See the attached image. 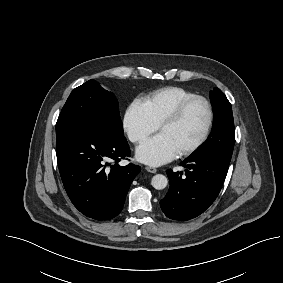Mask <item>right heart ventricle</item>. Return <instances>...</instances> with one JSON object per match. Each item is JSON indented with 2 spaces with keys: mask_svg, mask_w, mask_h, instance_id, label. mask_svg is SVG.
<instances>
[{
  "mask_svg": "<svg viewBox=\"0 0 283 283\" xmlns=\"http://www.w3.org/2000/svg\"><path fill=\"white\" fill-rule=\"evenodd\" d=\"M195 96L185 88L169 86L155 90L143 99V103L151 118L159 125L184 100Z\"/></svg>",
  "mask_w": 283,
  "mask_h": 283,
  "instance_id": "e07e8e85",
  "label": "right heart ventricle"
}]
</instances>
